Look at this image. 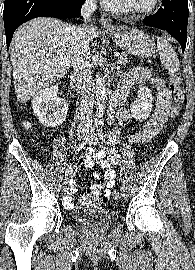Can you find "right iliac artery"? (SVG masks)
Wrapping results in <instances>:
<instances>
[{
    "label": "right iliac artery",
    "instance_id": "1",
    "mask_svg": "<svg viewBox=\"0 0 195 270\" xmlns=\"http://www.w3.org/2000/svg\"><path fill=\"white\" fill-rule=\"evenodd\" d=\"M88 141V138L86 139V141H83L82 143L79 144V146L77 147V150H81L82 148H84V146L86 145ZM70 172H72L71 167L67 168L65 171V176H68L70 174Z\"/></svg>",
    "mask_w": 195,
    "mask_h": 270
}]
</instances>
